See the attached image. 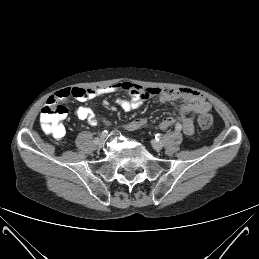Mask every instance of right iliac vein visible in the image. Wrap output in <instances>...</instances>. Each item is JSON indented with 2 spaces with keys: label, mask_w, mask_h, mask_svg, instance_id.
<instances>
[{
  "label": "right iliac vein",
  "mask_w": 259,
  "mask_h": 259,
  "mask_svg": "<svg viewBox=\"0 0 259 259\" xmlns=\"http://www.w3.org/2000/svg\"><path fill=\"white\" fill-rule=\"evenodd\" d=\"M98 142H96V144L99 146V147H103L105 145V139L103 137L101 138H98Z\"/></svg>",
  "instance_id": "63e3f726"
}]
</instances>
